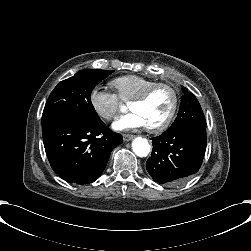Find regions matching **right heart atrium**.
Returning a JSON list of instances; mask_svg holds the SVG:
<instances>
[{"label":"right heart atrium","instance_id":"1","mask_svg":"<svg viewBox=\"0 0 251 251\" xmlns=\"http://www.w3.org/2000/svg\"><path fill=\"white\" fill-rule=\"evenodd\" d=\"M88 100L93 111L105 120L116 117L122 107L119 96L106 88L93 87Z\"/></svg>","mask_w":251,"mask_h":251}]
</instances>
